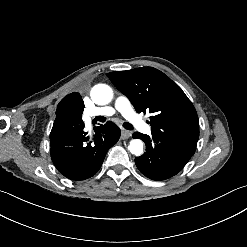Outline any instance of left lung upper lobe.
Returning <instances> with one entry per match:
<instances>
[{"label": "left lung upper lobe", "instance_id": "obj_1", "mask_svg": "<svg viewBox=\"0 0 247 247\" xmlns=\"http://www.w3.org/2000/svg\"><path fill=\"white\" fill-rule=\"evenodd\" d=\"M107 76L138 113H152V136L194 155L199 120L193 104L176 83L153 67L110 72Z\"/></svg>", "mask_w": 247, "mask_h": 247}]
</instances>
